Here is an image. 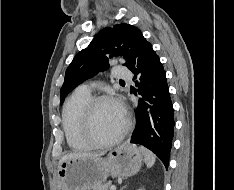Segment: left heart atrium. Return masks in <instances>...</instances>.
I'll use <instances>...</instances> for the list:
<instances>
[{"instance_id": "left-heart-atrium-1", "label": "left heart atrium", "mask_w": 234, "mask_h": 190, "mask_svg": "<svg viewBox=\"0 0 234 190\" xmlns=\"http://www.w3.org/2000/svg\"><path fill=\"white\" fill-rule=\"evenodd\" d=\"M119 106V105H118ZM119 108L121 109V111L123 112L122 108L119 106Z\"/></svg>"}]
</instances>
